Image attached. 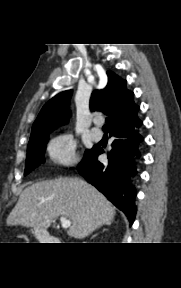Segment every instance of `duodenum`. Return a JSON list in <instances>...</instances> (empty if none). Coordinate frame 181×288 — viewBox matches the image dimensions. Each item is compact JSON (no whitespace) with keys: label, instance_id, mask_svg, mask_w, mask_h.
<instances>
[{"label":"duodenum","instance_id":"obj_1","mask_svg":"<svg viewBox=\"0 0 181 288\" xmlns=\"http://www.w3.org/2000/svg\"><path fill=\"white\" fill-rule=\"evenodd\" d=\"M37 239L43 243H61V239L58 237H53L46 231H38Z\"/></svg>","mask_w":181,"mask_h":288}]
</instances>
